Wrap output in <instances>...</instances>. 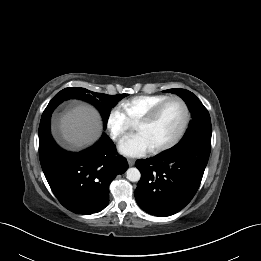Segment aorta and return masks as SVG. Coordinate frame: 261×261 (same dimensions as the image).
<instances>
[{
  "label": "aorta",
  "mask_w": 261,
  "mask_h": 261,
  "mask_svg": "<svg viewBox=\"0 0 261 261\" xmlns=\"http://www.w3.org/2000/svg\"><path fill=\"white\" fill-rule=\"evenodd\" d=\"M126 177L131 182H138L140 180L141 174L137 168H129L126 171Z\"/></svg>",
  "instance_id": "obj_1"
}]
</instances>
